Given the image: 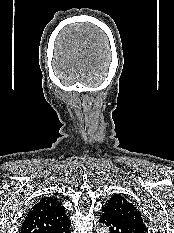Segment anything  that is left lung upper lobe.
I'll return each mask as SVG.
<instances>
[{
    "instance_id": "obj_1",
    "label": "left lung upper lobe",
    "mask_w": 174,
    "mask_h": 233,
    "mask_svg": "<svg viewBox=\"0 0 174 233\" xmlns=\"http://www.w3.org/2000/svg\"><path fill=\"white\" fill-rule=\"evenodd\" d=\"M102 209L105 213H108L114 218L126 220L146 227L140 211L134 204L127 201L120 194L113 195Z\"/></svg>"
}]
</instances>
